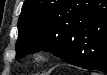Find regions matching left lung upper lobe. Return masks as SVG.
Segmentation results:
<instances>
[{
  "label": "left lung upper lobe",
  "instance_id": "5c2ea615",
  "mask_svg": "<svg viewBox=\"0 0 107 75\" xmlns=\"http://www.w3.org/2000/svg\"><path fill=\"white\" fill-rule=\"evenodd\" d=\"M98 6L92 0H25L18 20L16 58L41 49L55 55L71 49L80 22Z\"/></svg>",
  "mask_w": 107,
  "mask_h": 75
}]
</instances>
